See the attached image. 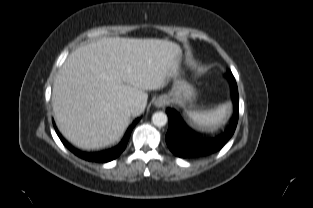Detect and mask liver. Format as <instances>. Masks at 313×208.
Returning a JSON list of instances; mask_svg holds the SVG:
<instances>
[{"label":"liver","mask_w":313,"mask_h":208,"mask_svg":"<svg viewBox=\"0 0 313 208\" xmlns=\"http://www.w3.org/2000/svg\"><path fill=\"white\" fill-rule=\"evenodd\" d=\"M178 44L163 39L103 38L73 51L53 85L52 107L62 134L84 150L117 143L130 116L120 107L133 98L147 105V91L164 88L178 72Z\"/></svg>","instance_id":"6515ba94"}]
</instances>
